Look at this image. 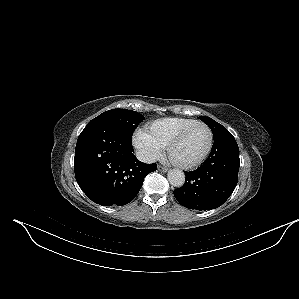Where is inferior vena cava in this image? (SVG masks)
Listing matches in <instances>:
<instances>
[{"mask_svg":"<svg viewBox=\"0 0 299 299\" xmlns=\"http://www.w3.org/2000/svg\"><path fill=\"white\" fill-rule=\"evenodd\" d=\"M136 156L140 161L145 163H153L155 161V158L152 155L142 151L137 152Z\"/></svg>","mask_w":299,"mask_h":299,"instance_id":"inferior-vena-cava-1","label":"inferior vena cava"}]
</instances>
